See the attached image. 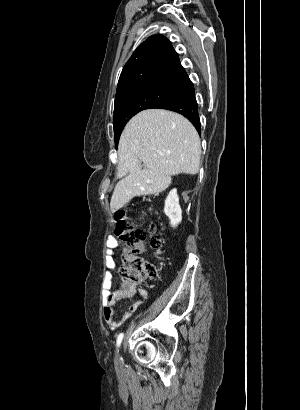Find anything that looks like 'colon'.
Segmentation results:
<instances>
[{
	"label": "colon",
	"mask_w": 300,
	"mask_h": 410,
	"mask_svg": "<svg viewBox=\"0 0 300 410\" xmlns=\"http://www.w3.org/2000/svg\"><path fill=\"white\" fill-rule=\"evenodd\" d=\"M115 218L117 238L131 249V253L123 258L119 268L121 279L127 284H137L154 277L155 268L139 254L144 251L147 240L152 249L159 250L161 238L153 231V227L147 231L128 224L125 211H119Z\"/></svg>",
	"instance_id": "obj_1"
}]
</instances>
